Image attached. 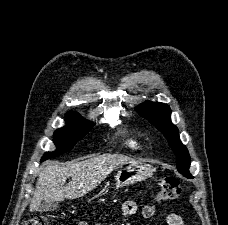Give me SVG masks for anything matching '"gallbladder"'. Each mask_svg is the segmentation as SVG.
I'll return each mask as SVG.
<instances>
[{"mask_svg": "<svg viewBox=\"0 0 228 225\" xmlns=\"http://www.w3.org/2000/svg\"><path fill=\"white\" fill-rule=\"evenodd\" d=\"M58 201H49V203H41L38 211H55V209H58Z\"/></svg>", "mask_w": 228, "mask_h": 225, "instance_id": "gallbladder-1", "label": "gallbladder"}]
</instances>
